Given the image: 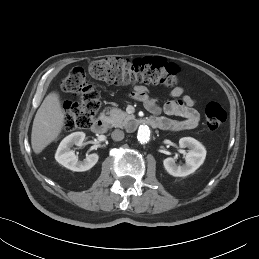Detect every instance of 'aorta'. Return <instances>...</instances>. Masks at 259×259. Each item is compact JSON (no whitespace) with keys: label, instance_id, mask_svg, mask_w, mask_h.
I'll use <instances>...</instances> for the list:
<instances>
[{"label":"aorta","instance_id":"1","mask_svg":"<svg viewBox=\"0 0 259 259\" xmlns=\"http://www.w3.org/2000/svg\"><path fill=\"white\" fill-rule=\"evenodd\" d=\"M136 135L138 141L145 144L150 140L151 130L147 125H140L137 129Z\"/></svg>","mask_w":259,"mask_h":259}]
</instances>
